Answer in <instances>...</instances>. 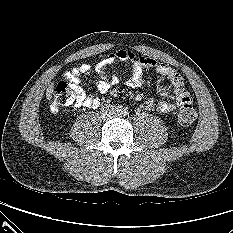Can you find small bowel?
Wrapping results in <instances>:
<instances>
[{
  "label": "small bowel",
  "instance_id": "1",
  "mask_svg": "<svg viewBox=\"0 0 233 233\" xmlns=\"http://www.w3.org/2000/svg\"><path fill=\"white\" fill-rule=\"evenodd\" d=\"M120 62H128L131 65V75L126 81V85L130 88H138L143 84L144 69L146 68H153L171 84L175 98L174 103L166 100L155 102L149 99L142 104L144 109L150 110L156 107L160 113H169L185 104H192V97L185 89L181 75L175 69L152 58L138 56L132 51L121 49L108 54L94 68L89 64H82L65 73V79L76 93L74 106L77 108H98L101 104L100 98L85 92L81 86V77L95 72L98 78L97 89L100 93L105 94L119 83V78L115 75H107L105 69Z\"/></svg>",
  "mask_w": 233,
  "mask_h": 233
}]
</instances>
